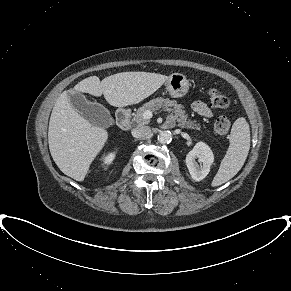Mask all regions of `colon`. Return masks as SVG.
Wrapping results in <instances>:
<instances>
[{
	"label": "colon",
	"mask_w": 291,
	"mask_h": 291,
	"mask_svg": "<svg viewBox=\"0 0 291 291\" xmlns=\"http://www.w3.org/2000/svg\"><path fill=\"white\" fill-rule=\"evenodd\" d=\"M209 105L212 108H226L229 105V99L218 89L212 88L208 92ZM230 129V121L225 116L217 118L214 123V131L218 135H225Z\"/></svg>",
	"instance_id": "obj_1"
}]
</instances>
